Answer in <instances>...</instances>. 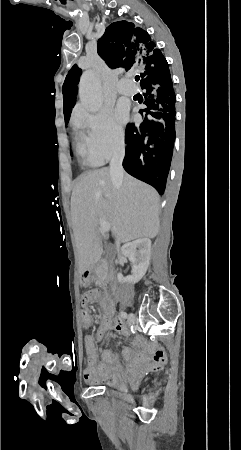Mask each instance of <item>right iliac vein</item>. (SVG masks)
I'll list each match as a JSON object with an SVG mask.
<instances>
[{
	"label": "right iliac vein",
	"instance_id": "1",
	"mask_svg": "<svg viewBox=\"0 0 241 450\" xmlns=\"http://www.w3.org/2000/svg\"><path fill=\"white\" fill-rule=\"evenodd\" d=\"M134 323H135V316L133 314H130L128 316V325L132 326V325H134Z\"/></svg>",
	"mask_w": 241,
	"mask_h": 450
}]
</instances>
